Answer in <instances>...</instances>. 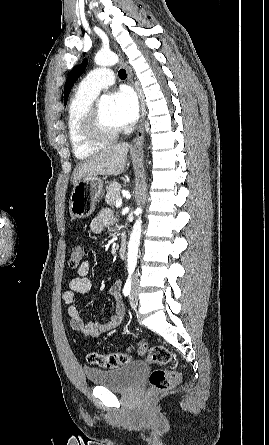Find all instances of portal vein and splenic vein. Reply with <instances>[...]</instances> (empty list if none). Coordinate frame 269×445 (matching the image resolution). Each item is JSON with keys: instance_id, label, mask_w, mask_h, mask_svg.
Here are the masks:
<instances>
[{"instance_id": "1", "label": "portal vein and splenic vein", "mask_w": 269, "mask_h": 445, "mask_svg": "<svg viewBox=\"0 0 269 445\" xmlns=\"http://www.w3.org/2000/svg\"><path fill=\"white\" fill-rule=\"evenodd\" d=\"M122 205V200L121 199H117L116 200V207H120Z\"/></svg>"}]
</instances>
